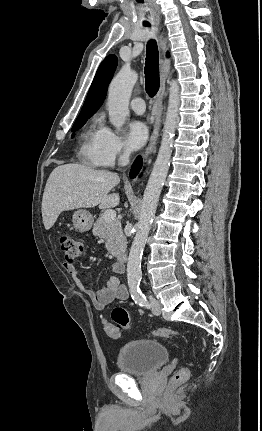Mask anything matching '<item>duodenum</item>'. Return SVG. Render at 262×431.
I'll use <instances>...</instances> for the list:
<instances>
[{
  "label": "duodenum",
  "mask_w": 262,
  "mask_h": 431,
  "mask_svg": "<svg viewBox=\"0 0 262 431\" xmlns=\"http://www.w3.org/2000/svg\"><path fill=\"white\" fill-rule=\"evenodd\" d=\"M127 259H128V257H127V255H126V254H124V253H122V254H120V255L118 256V261H119L121 264H124V263L127 261Z\"/></svg>",
  "instance_id": "obj_1"
}]
</instances>
